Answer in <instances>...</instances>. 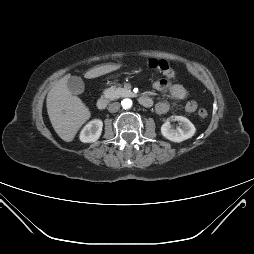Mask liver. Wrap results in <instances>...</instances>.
Listing matches in <instances>:
<instances>
[{"mask_svg":"<svg viewBox=\"0 0 254 254\" xmlns=\"http://www.w3.org/2000/svg\"><path fill=\"white\" fill-rule=\"evenodd\" d=\"M120 64H106L90 69L84 74L87 79L96 78L113 72ZM70 75L61 78L48 92L46 104L51 124L58 136L70 142L80 127L90 118L89 109L80 98L72 95L67 87Z\"/></svg>","mask_w":254,"mask_h":254,"instance_id":"1","label":"liver"}]
</instances>
